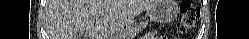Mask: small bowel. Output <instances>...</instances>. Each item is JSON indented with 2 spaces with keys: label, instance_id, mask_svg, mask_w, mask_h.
<instances>
[{
  "label": "small bowel",
  "instance_id": "c3829d8e",
  "mask_svg": "<svg viewBox=\"0 0 249 39\" xmlns=\"http://www.w3.org/2000/svg\"><path fill=\"white\" fill-rule=\"evenodd\" d=\"M167 37L163 34H157V33H150L148 34L145 39H166Z\"/></svg>",
  "mask_w": 249,
  "mask_h": 39
}]
</instances>
